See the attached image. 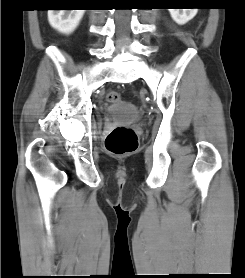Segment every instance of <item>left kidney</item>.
Returning a JSON list of instances; mask_svg holds the SVG:
<instances>
[{"instance_id": "obj_1", "label": "left kidney", "mask_w": 245, "mask_h": 278, "mask_svg": "<svg viewBox=\"0 0 245 278\" xmlns=\"http://www.w3.org/2000/svg\"><path fill=\"white\" fill-rule=\"evenodd\" d=\"M168 10H169L170 15L173 18V20L176 23L183 25L195 17V15L197 14L198 8L168 9Z\"/></svg>"}]
</instances>
